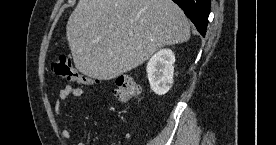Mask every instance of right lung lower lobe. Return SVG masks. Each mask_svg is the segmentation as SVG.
<instances>
[{
  "instance_id": "98d812e1",
  "label": "right lung lower lobe",
  "mask_w": 276,
  "mask_h": 145,
  "mask_svg": "<svg viewBox=\"0 0 276 145\" xmlns=\"http://www.w3.org/2000/svg\"><path fill=\"white\" fill-rule=\"evenodd\" d=\"M184 11L186 16L194 23L202 36H205L210 0H173Z\"/></svg>"
}]
</instances>
